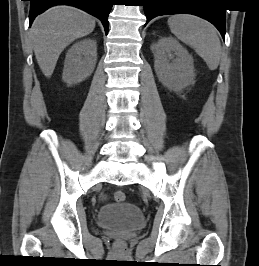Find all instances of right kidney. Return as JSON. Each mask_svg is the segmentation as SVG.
<instances>
[{
	"label": "right kidney",
	"mask_w": 259,
	"mask_h": 266,
	"mask_svg": "<svg viewBox=\"0 0 259 266\" xmlns=\"http://www.w3.org/2000/svg\"><path fill=\"white\" fill-rule=\"evenodd\" d=\"M96 61V40L87 38L76 42L66 54L63 81L68 85L82 82L92 74Z\"/></svg>",
	"instance_id": "1"
}]
</instances>
